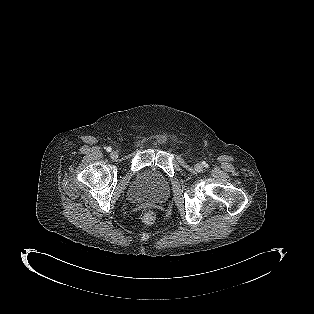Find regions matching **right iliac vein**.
I'll return each mask as SVG.
<instances>
[{"label": "right iliac vein", "instance_id": "obj_1", "mask_svg": "<svg viewBox=\"0 0 314 314\" xmlns=\"http://www.w3.org/2000/svg\"><path fill=\"white\" fill-rule=\"evenodd\" d=\"M110 157H111L112 159H116V158L118 157V153H117L116 151H111Z\"/></svg>", "mask_w": 314, "mask_h": 314}]
</instances>
